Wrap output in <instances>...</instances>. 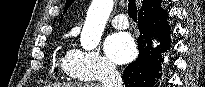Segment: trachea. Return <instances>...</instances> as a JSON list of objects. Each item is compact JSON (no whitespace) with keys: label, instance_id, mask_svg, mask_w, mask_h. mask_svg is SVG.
Here are the masks:
<instances>
[{"label":"trachea","instance_id":"obj_1","mask_svg":"<svg viewBox=\"0 0 205 87\" xmlns=\"http://www.w3.org/2000/svg\"><path fill=\"white\" fill-rule=\"evenodd\" d=\"M128 15L132 20L137 21V6L135 0H129L128 2Z\"/></svg>","mask_w":205,"mask_h":87}]
</instances>
